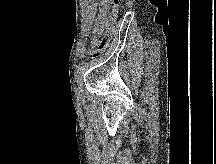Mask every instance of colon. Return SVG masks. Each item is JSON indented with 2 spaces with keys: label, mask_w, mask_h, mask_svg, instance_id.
Instances as JSON below:
<instances>
[{
  "label": "colon",
  "mask_w": 216,
  "mask_h": 164,
  "mask_svg": "<svg viewBox=\"0 0 216 164\" xmlns=\"http://www.w3.org/2000/svg\"><path fill=\"white\" fill-rule=\"evenodd\" d=\"M122 2L123 0H111L109 17L102 24L95 27L92 39V59L98 58L107 49Z\"/></svg>",
  "instance_id": "1"
}]
</instances>
